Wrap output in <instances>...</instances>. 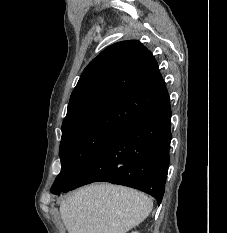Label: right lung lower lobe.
I'll use <instances>...</instances> for the list:
<instances>
[{
	"instance_id": "right-lung-lower-lobe-1",
	"label": "right lung lower lobe",
	"mask_w": 227,
	"mask_h": 233,
	"mask_svg": "<svg viewBox=\"0 0 227 233\" xmlns=\"http://www.w3.org/2000/svg\"><path fill=\"white\" fill-rule=\"evenodd\" d=\"M170 125L168 101L118 131L69 186L53 194L105 181L143 191L153 196L159 205L170 161Z\"/></svg>"
}]
</instances>
